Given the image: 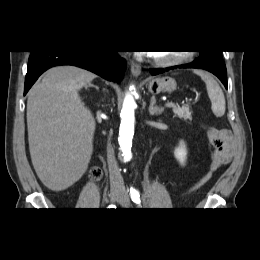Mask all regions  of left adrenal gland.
Segmentation results:
<instances>
[{
  "label": "left adrenal gland",
  "instance_id": "a2214340",
  "mask_svg": "<svg viewBox=\"0 0 260 260\" xmlns=\"http://www.w3.org/2000/svg\"><path fill=\"white\" fill-rule=\"evenodd\" d=\"M155 104H156V99H155V96H153L151 98V102H150V106H149V113L151 116L159 115L164 111V109L162 107H158Z\"/></svg>",
  "mask_w": 260,
  "mask_h": 260
}]
</instances>
